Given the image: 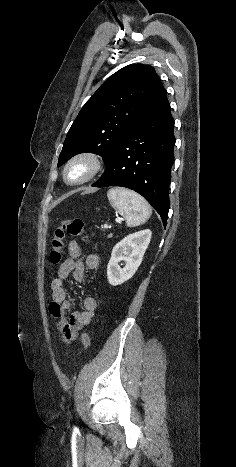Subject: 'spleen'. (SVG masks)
<instances>
[{"instance_id": "3e777b00", "label": "spleen", "mask_w": 236, "mask_h": 467, "mask_svg": "<svg viewBox=\"0 0 236 467\" xmlns=\"http://www.w3.org/2000/svg\"><path fill=\"white\" fill-rule=\"evenodd\" d=\"M107 197L112 207L125 216L128 227H135L145 223L152 214L147 201L131 190L111 188Z\"/></svg>"}]
</instances>
